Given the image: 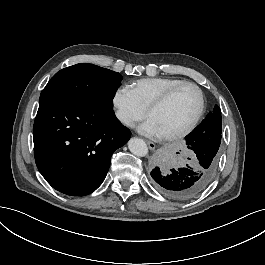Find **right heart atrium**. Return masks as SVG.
<instances>
[{"label": "right heart atrium", "mask_w": 265, "mask_h": 265, "mask_svg": "<svg viewBox=\"0 0 265 265\" xmlns=\"http://www.w3.org/2000/svg\"><path fill=\"white\" fill-rule=\"evenodd\" d=\"M111 101L117 122L129 129H136L144 118L145 111L133 100L126 85H119L111 92Z\"/></svg>", "instance_id": "1"}]
</instances>
